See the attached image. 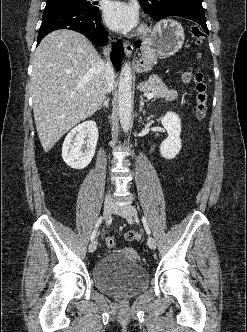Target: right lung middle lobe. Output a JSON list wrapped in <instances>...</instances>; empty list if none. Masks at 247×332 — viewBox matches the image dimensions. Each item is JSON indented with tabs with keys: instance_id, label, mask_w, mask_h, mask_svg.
Returning <instances> with one entry per match:
<instances>
[{
	"instance_id": "dd1d6c3e",
	"label": "right lung middle lobe",
	"mask_w": 247,
	"mask_h": 332,
	"mask_svg": "<svg viewBox=\"0 0 247 332\" xmlns=\"http://www.w3.org/2000/svg\"><path fill=\"white\" fill-rule=\"evenodd\" d=\"M57 6H72L79 7L86 10H94L96 7H93L90 1L88 0H46V7H57Z\"/></svg>"
}]
</instances>
